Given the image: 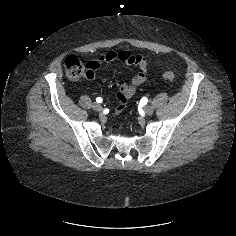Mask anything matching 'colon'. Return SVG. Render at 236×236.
I'll list each match as a JSON object with an SVG mask.
<instances>
[{
  "mask_svg": "<svg viewBox=\"0 0 236 236\" xmlns=\"http://www.w3.org/2000/svg\"><path fill=\"white\" fill-rule=\"evenodd\" d=\"M64 69L67 77L70 80H80L83 78H91L93 73L88 68L87 64L83 63L78 57L74 55H69L64 60ZM163 80L172 83L175 76L172 72H165L162 76ZM119 102L123 103L124 98L119 96Z\"/></svg>",
  "mask_w": 236,
  "mask_h": 236,
  "instance_id": "colon-1",
  "label": "colon"
}]
</instances>
